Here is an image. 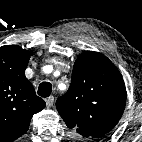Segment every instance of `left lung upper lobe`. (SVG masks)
<instances>
[{"label": "left lung upper lobe", "instance_id": "obj_1", "mask_svg": "<svg viewBox=\"0 0 142 142\" xmlns=\"http://www.w3.org/2000/svg\"><path fill=\"white\" fill-rule=\"evenodd\" d=\"M126 88L116 66L103 54L83 52L75 61L69 90L56 107L66 125L80 139L108 134L121 118Z\"/></svg>", "mask_w": 142, "mask_h": 142}]
</instances>
